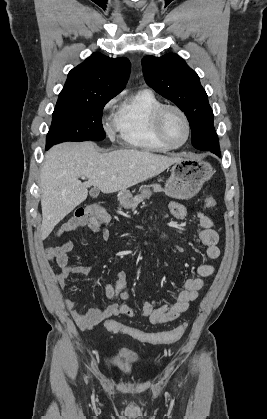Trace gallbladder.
I'll return each instance as SVG.
<instances>
[{
	"label": "gallbladder",
	"mask_w": 267,
	"mask_h": 419,
	"mask_svg": "<svg viewBox=\"0 0 267 419\" xmlns=\"http://www.w3.org/2000/svg\"><path fill=\"white\" fill-rule=\"evenodd\" d=\"M90 195L94 198L97 197L99 195V189L98 188H93L90 192Z\"/></svg>",
	"instance_id": "1"
}]
</instances>
